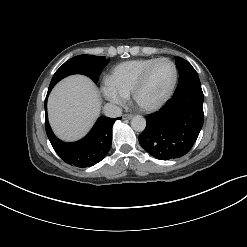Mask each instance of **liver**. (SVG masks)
<instances>
[{
	"label": "liver",
	"instance_id": "obj_1",
	"mask_svg": "<svg viewBox=\"0 0 247 247\" xmlns=\"http://www.w3.org/2000/svg\"><path fill=\"white\" fill-rule=\"evenodd\" d=\"M100 105L98 90L89 78L69 76L60 81L49 96V122L59 138L74 141L92 127Z\"/></svg>",
	"mask_w": 247,
	"mask_h": 247
}]
</instances>
